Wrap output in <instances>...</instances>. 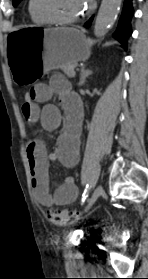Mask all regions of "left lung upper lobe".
<instances>
[{"label":"left lung upper lobe","mask_w":148,"mask_h":279,"mask_svg":"<svg viewBox=\"0 0 148 279\" xmlns=\"http://www.w3.org/2000/svg\"><path fill=\"white\" fill-rule=\"evenodd\" d=\"M21 0H13V6H17Z\"/></svg>","instance_id":"1"}]
</instances>
